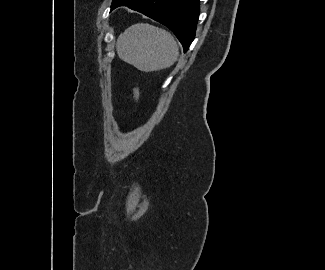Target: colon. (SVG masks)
Segmentation results:
<instances>
[{"mask_svg": "<svg viewBox=\"0 0 325 270\" xmlns=\"http://www.w3.org/2000/svg\"><path fill=\"white\" fill-rule=\"evenodd\" d=\"M133 98L135 103L138 104L139 100H140V88L138 85H135L134 89H133Z\"/></svg>", "mask_w": 325, "mask_h": 270, "instance_id": "colon-1", "label": "colon"}]
</instances>
